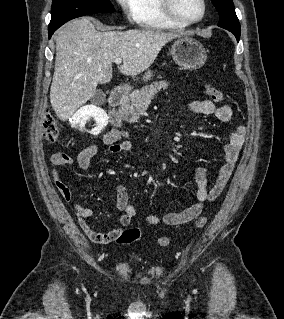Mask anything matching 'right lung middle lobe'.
I'll list each match as a JSON object with an SVG mask.
<instances>
[{"instance_id":"right-lung-middle-lobe-1","label":"right lung middle lobe","mask_w":284,"mask_h":319,"mask_svg":"<svg viewBox=\"0 0 284 319\" xmlns=\"http://www.w3.org/2000/svg\"><path fill=\"white\" fill-rule=\"evenodd\" d=\"M114 11L110 0H53L48 30L58 29L67 21L80 16Z\"/></svg>"}]
</instances>
